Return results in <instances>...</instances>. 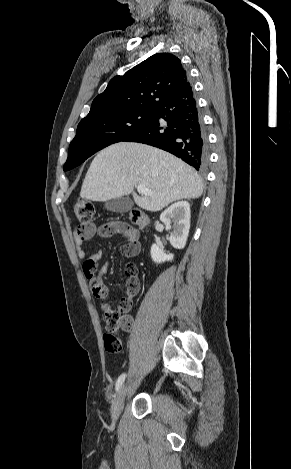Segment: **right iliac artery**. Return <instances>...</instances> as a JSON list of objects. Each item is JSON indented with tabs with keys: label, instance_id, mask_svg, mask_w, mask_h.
<instances>
[{
	"label": "right iliac artery",
	"instance_id": "right-iliac-artery-1",
	"mask_svg": "<svg viewBox=\"0 0 291 469\" xmlns=\"http://www.w3.org/2000/svg\"><path fill=\"white\" fill-rule=\"evenodd\" d=\"M125 377H126V374H125V373H124V374H121V375L118 377V379H117V381H116V386H115V387H116V391H118V390L121 388V386H122V384H123V382H124V380H125Z\"/></svg>",
	"mask_w": 291,
	"mask_h": 469
}]
</instances>
